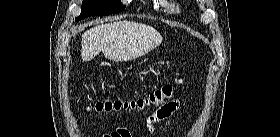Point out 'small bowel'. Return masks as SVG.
Masks as SVG:
<instances>
[{"mask_svg":"<svg viewBox=\"0 0 280 137\" xmlns=\"http://www.w3.org/2000/svg\"><path fill=\"white\" fill-rule=\"evenodd\" d=\"M180 108L179 101L169 102L154 113H152L146 120V126L150 131H154L160 122H164L163 130L167 131L169 121L172 115ZM105 137H131L130 132L125 128H119L117 132L106 135Z\"/></svg>","mask_w":280,"mask_h":137,"instance_id":"small-bowel-1","label":"small bowel"}]
</instances>
